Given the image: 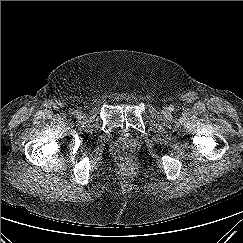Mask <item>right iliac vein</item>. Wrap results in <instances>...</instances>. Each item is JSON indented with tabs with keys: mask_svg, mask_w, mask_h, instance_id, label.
<instances>
[{
	"mask_svg": "<svg viewBox=\"0 0 243 243\" xmlns=\"http://www.w3.org/2000/svg\"><path fill=\"white\" fill-rule=\"evenodd\" d=\"M75 115H76V117H82L83 112L82 111H76Z\"/></svg>",
	"mask_w": 243,
	"mask_h": 243,
	"instance_id": "1",
	"label": "right iliac vein"
}]
</instances>
